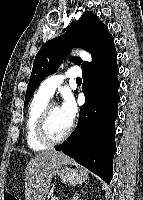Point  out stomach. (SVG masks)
<instances>
[{"mask_svg": "<svg viewBox=\"0 0 143 200\" xmlns=\"http://www.w3.org/2000/svg\"><path fill=\"white\" fill-rule=\"evenodd\" d=\"M58 175L63 183L73 186L83 183L88 176L84 170H75L67 166L60 169Z\"/></svg>", "mask_w": 143, "mask_h": 200, "instance_id": "obj_1", "label": "stomach"}]
</instances>
